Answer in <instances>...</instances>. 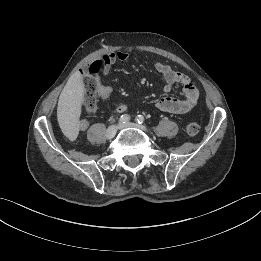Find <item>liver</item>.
Segmentation results:
<instances>
[{
  "label": "liver",
  "mask_w": 261,
  "mask_h": 261,
  "mask_svg": "<svg viewBox=\"0 0 261 261\" xmlns=\"http://www.w3.org/2000/svg\"><path fill=\"white\" fill-rule=\"evenodd\" d=\"M83 97V80L80 74L75 73L68 79L58 100L57 118L63 130H78Z\"/></svg>",
  "instance_id": "6515ba94"
}]
</instances>
